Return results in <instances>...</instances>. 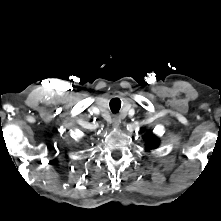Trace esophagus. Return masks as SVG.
I'll list each match as a JSON object with an SVG mask.
<instances>
[{
    "label": "esophagus",
    "mask_w": 221,
    "mask_h": 221,
    "mask_svg": "<svg viewBox=\"0 0 221 221\" xmlns=\"http://www.w3.org/2000/svg\"><path fill=\"white\" fill-rule=\"evenodd\" d=\"M120 118L119 117H117V116H115L114 118H113V120H112V126H113V128H115V129H117L118 127H119V125H120Z\"/></svg>",
    "instance_id": "34e87169"
}]
</instances>
